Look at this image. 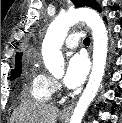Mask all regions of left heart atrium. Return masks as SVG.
Segmentation results:
<instances>
[{
  "mask_svg": "<svg viewBox=\"0 0 122 123\" xmlns=\"http://www.w3.org/2000/svg\"><path fill=\"white\" fill-rule=\"evenodd\" d=\"M88 69V61L83 54L76 53L72 55L68 60L63 80L65 86L70 89L81 86L87 77Z\"/></svg>",
  "mask_w": 122,
  "mask_h": 123,
  "instance_id": "1",
  "label": "left heart atrium"
}]
</instances>
